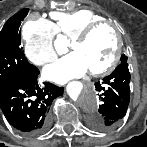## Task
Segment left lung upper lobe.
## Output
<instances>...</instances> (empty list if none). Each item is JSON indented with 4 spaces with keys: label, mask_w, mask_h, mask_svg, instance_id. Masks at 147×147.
Here are the masks:
<instances>
[{
    "label": "left lung upper lobe",
    "mask_w": 147,
    "mask_h": 147,
    "mask_svg": "<svg viewBox=\"0 0 147 147\" xmlns=\"http://www.w3.org/2000/svg\"><path fill=\"white\" fill-rule=\"evenodd\" d=\"M122 62H127V57L124 54L121 56V63Z\"/></svg>",
    "instance_id": "1"
}]
</instances>
